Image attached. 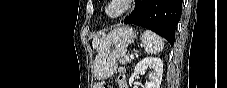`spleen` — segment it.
Wrapping results in <instances>:
<instances>
[{"instance_id":"1","label":"spleen","mask_w":227,"mask_h":88,"mask_svg":"<svg viewBox=\"0 0 227 88\" xmlns=\"http://www.w3.org/2000/svg\"><path fill=\"white\" fill-rule=\"evenodd\" d=\"M141 41L145 51L149 54L157 55L164 47L163 39L150 30L143 32Z\"/></svg>"}]
</instances>
